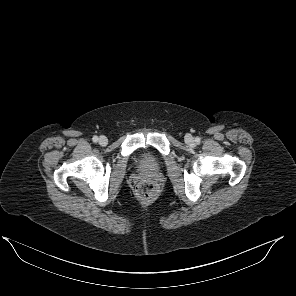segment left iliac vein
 <instances>
[{"label":"left iliac vein","mask_w":296,"mask_h":296,"mask_svg":"<svg viewBox=\"0 0 296 296\" xmlns=\"http://www.w3.org/2000/svg\"><path fill=\"white\" fill-rule=\"evenodd\" d=\"M185 141H186V143H188V144H192V143L194 142V139H193L192 136L187 135L186 138H185Z\"/></svg>","instance_id":"1"}]
</instances>
